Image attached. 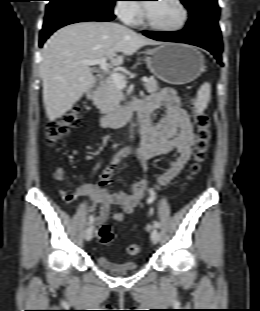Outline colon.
<instances>
[{"label":"colon","instance_id":"1","mask_svg":"<svg viewBox=\"0 0 260 311\" xmlns=\"http://www.w3.org/2000/svg\"><path fill=\"white\" fill-rule=\"evenodd\" d=\"M194 124L196 126V140L194 144L193 162L189 168V178L196 176L202 169L207 158L210 146V118L201 111H198L194 102L190 104ZM81 125V112L78 108L72 109L61 118L51 121L46 125L45 136L46 142L50 147L55 146L60 140L68 137L71 132ZM97 235L102 244H110L114 240V233L108 224H102ZM140 247L137 244H131L127 247L130 255L139 253Z\"/></svg>","mask_w":260,"mask_h":311}]
</instances>
